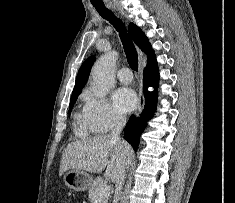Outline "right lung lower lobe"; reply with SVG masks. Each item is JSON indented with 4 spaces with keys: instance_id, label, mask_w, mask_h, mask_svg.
<instances>
[{
    "instance_id": "1",
    "label": "right lung lower lobe",
    "mask_w": 235,
    "mask_h": 203,
    "mask_svg": "<svg viewBox=\"0 0 235 203\" xmlns=\"http://www.w3.org/2000/svg\"><path fill=\"white\" fill-rule=\"evenodd\" d=\"M159 81V71L156 61V57L147 61V66L143 73V91L145 96V107L141 114V117H135L131 115L129 121L126 124L124 130V138L132 145L136 150L139 144V138L146 126V122L153 116L156 109L157 101V87ZM154 87L155 90L150 92L148 87Z\"/></svg>"
}]
</instances>
